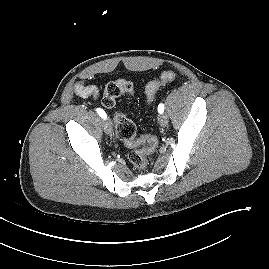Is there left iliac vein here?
Listing matches in <instances>:
<instances>
[{
  "label": "left iliac vein",
  "mask_w": 269,
  "mask_h": 269,
  "mask_svg": "<svg viewBox=\"0 0 269 269\" xmlns=\"http://www.w3.org/2000/svg\"><path fill=\"white\" fill-rule=\"evenodd\" d=\"M158 122L161 126H166L168 124V116L166 114H160Z\"/></svg>",
  "instance_id": "obj_1"
}]
</instances>
